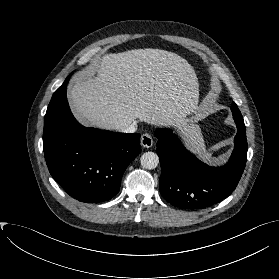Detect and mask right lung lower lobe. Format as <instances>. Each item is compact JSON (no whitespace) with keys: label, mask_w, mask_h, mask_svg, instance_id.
Returning a JSON list of instances; mask_svg holds the SVG:
<instances>
[{"label":"right lung lower lobe","mask_w":279,"mask_h":279,"mask_svg":"<svg viewBox=\"0 0 279 279\" xmlns=\"http://www.w3.org/2000/svg\"><path fill=\"white\" fill-rule=\"evenodd\" d=\"M43 148L55 181L68 195L85 203L105 202L116 196L125 169L141 152L138 133L80 125L70 111L66 92L47 109Z\"/></svg>","instance_id":"1"}]
</instances>
